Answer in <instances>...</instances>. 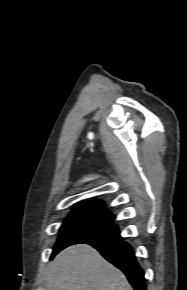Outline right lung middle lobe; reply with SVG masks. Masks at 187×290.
I'll return each instance as SVG.
<instances>
[{
  "mask_svg": "<svg viewBox=\"0 0 187 290\" xmlns=\"http://www.w3.org/2000/svg\"><path fill=\"white\" fill-rule=\"evenodd\" d=\"M113 220L114 216L105 210H73L60 228V236L51 257L70 245L119 233Z\"/></svg>",
  "mask_w": 187,
  "mask_h": 290,
  "instance_id": "right-lung-middle-lobe-1",
  "label": "right lung middle lobe"
}]
</instances>
